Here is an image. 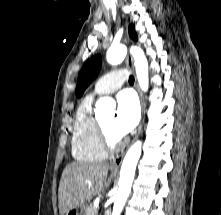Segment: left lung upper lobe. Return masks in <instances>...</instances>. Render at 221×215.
I'll use <instances>...</instances> for the list:
<instances>
[{
	"instance_id": "5c2ea615",
	"label": "left lung upper lobe",
	"mask_w": 221,
	"mask_h": 215,
	"mask_svg": "<svg viewBox=\"0 0 221 215\" xmlns=\"http://www.w3.org/2000/svg\"><path fill=\"white\" fill-rule=\"evenodd\" d=\"M130 37L134 40H137V35L134 30V26L130 25L129 27ZM101 56L95 55L90 58L82 67L76 87V96L79 98L83 95L85 89L91 84V82L95 79L97 74L101 69Z\"/></svg>"
}]
</instances>
